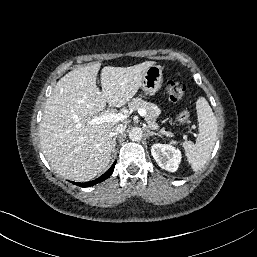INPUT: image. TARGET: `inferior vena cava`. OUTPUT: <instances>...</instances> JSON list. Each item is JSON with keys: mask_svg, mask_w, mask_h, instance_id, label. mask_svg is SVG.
<instances>
[{"mask_svg": "<svg viewBox=\"0 0 257 257\" xmlns=\"http://www.w3.org/2000/svg\"><path fill=\"white\" fill-rule=\"evenodd\" d=\"M125 129H126V126H124L122 124L117 125L109 132V135H110V137L117 136L118 134L123 133L125 131Z\"/></svg>", "mask_w": 257, "mask_h": 257, "instance_id": "1", "label": "inferior vena cava"}]
</instances>
